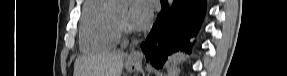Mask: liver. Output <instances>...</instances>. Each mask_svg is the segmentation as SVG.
Listing matches in <instances>:
<instances>
[{
	"label": "liver",
	"mask_w": 287,
	"mask_h": 76,
	"mask_svg": "<svg viewBox=\"0 0 287 76\" xmlns=\"http://www.w3.org/2000/svg\"><path fill=\"white\" fill-rule=\"evenodd\" d=\"M124 53L101 51L75 61V76H121Z\"/></svg>",
	"instance_id": "6515ba94"
}]
</instances>
